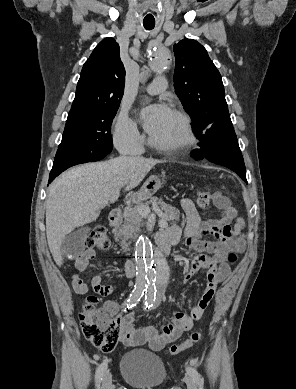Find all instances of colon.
<instances>
[{
	"instance_id": "5ec220e1",
	"label": "colon",
	"mask_w": 296,
	"mask_h": 389,
	"mask_svg": "<svg viewBox=\"0 0 296 389\" xmlns=\"http://www.w3.org/2000/svg\"><path fill=\"white\" fill-rule=\"evenodd\" d=\"M213 194L202 191L198 194V205L207 209L211 205ZM87 247L105 250L109 247V239L105 228L94 227L84 239ZM237 257L234 252L228 255V262L235 263ZM95 296L86 298V302L80 313L81 328L85 338L94 346L104 352H111L117 345L120 337V324L114 319L104 306H98ZM200 332H193L185 341L172 345L169 349L171 355L191 348L201 339Z\"/></svg>"
}]
</instances>
